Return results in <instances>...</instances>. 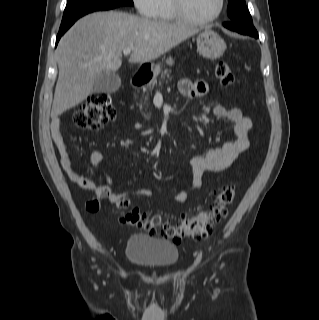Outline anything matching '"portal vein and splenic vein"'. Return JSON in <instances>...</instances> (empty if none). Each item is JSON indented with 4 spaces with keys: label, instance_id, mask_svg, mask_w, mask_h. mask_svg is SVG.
<instances>
[{
    "label": "portal vein and splenic vein",
    "instance_id": "portal-vein-and-splenic-vein-1",
    "mask_svg": "<svg viewBox=\"0 0 319 320\" xmlns=\"http://www.w3.org/2000/svg\"><path fill=\"white\" fill-rule=\"evenodd\" d=\"M132 50H133V47H128L123 50V53H124V55L127 56L131 53Z\"/></svg>",
    "mask_w": 319,
    "mask_h": 320
}]
</instances>
